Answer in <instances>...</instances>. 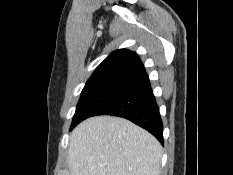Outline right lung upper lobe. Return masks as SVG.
I'll use <instances>...</instances> for the list:
<instances>
[{
  "instance_id": "obj_1",
  "label": "right lung upper lobe",
  "mask_w": 233,
  "mask_h": 175,
  "mask_svg": "<svg viewBox=\"0 0 233 175\" xmlns=\"http://www.w3.org/2000/svg\"><path fill=\"white\" fill-rule=\"evenodd\" d=\"M146 75L141 60L135 52L120 49L112 52L95 70L90 79L120 76L137 79Z\"/></svg>"
}]
</instances>
